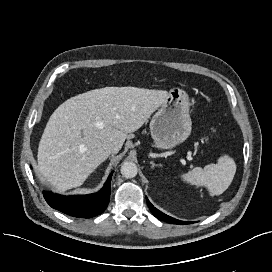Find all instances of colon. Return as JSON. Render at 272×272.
Masks as SVG:
<instances>
[{
    "instance_id": "colon-1",
    "label": "colon",
    "mask_w": 272,
    "mask_h": 272,
    "mask_svg": "<svg viewBox=\"0 0 272 272\" xmlns=\"http://www.w3.org/2000/svg\"><path fill=\"white\" fill-rule=\"evenodd\" d=\"M213 135H214L213 131H209V132L207 133V137H208V138H212Z\"/></svg>"
}]
</instances>
